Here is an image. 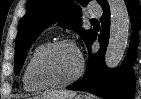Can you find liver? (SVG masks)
I'll return each instance as SVG.
<instances>
[{"mask_svg":"<svg viewBox=\"0 0 141 99\" xmlns=\"http://www.w3.org/2000/svg\"><path fill=\"white\" fill-rule=\"evenodd\" d=\"M76 92L68 90L47 91L38 98L42 99H74Z\"/></svg>","mask_w":141,"mask_h":99,"instance_id":"liver-1","label":"liver"}]
</instances>
